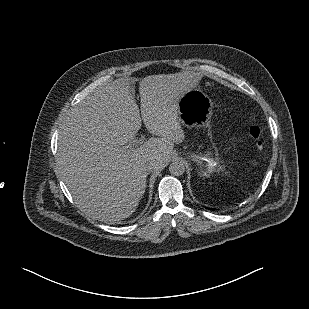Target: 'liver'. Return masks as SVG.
Masks as SVG:
<instances>
[{
    "label": "liver",
    "mask_w": 309,
    "mask_h": 309,
    "mask_svg": "<svg viewBox=\"0 0 309 309\" xmlns=\"http://www.w3.org/2000/svg\"><path fill=\"white\" fill-rule=\"evenodd\" d=\"M160 84L144 79L140 110L134 96L115 80L94 89L63 116L58 170L89 218L116 222L129 217L145 193L149 166L165 165L174 143L184 139L176 107L158 91ZM141 121L158 137L138 148L124 147L132 142Z\"/></svg>",
    "instance_id": "liver-1"
}]
</instances>
